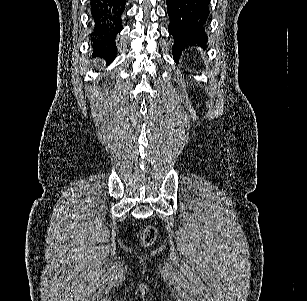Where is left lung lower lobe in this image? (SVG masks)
<instances>
[{"mask_svg": "<svg viewBox=\"0 0 307 301\" xmlns=\"http://www.w3.org/2000/svg\"><path fill=\"white\" fill-rule=\"evenodd\" d=\"M174 38L173 56L178 60L182 50L191 45L205 46L209 21V0H166Z\"/></svg>", "mask_w": 307, "mask_h": 301, "instance_id": "0a47b994", "label": "left lung lower lobe"}]
</instances>
